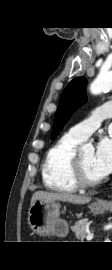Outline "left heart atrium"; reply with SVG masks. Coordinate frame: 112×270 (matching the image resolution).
Returning a JSON list of instances; mask_svg holds the SVG:
<instances>
[{"label": "left heart atrium", "instance_id": "left-heart-atrium-1", "mask_svg": "<svg viewBox=\"0 0 112 270\" xmlns=\"http://www.w3.org/2000/svg\"><path fill=\"white\" fill-rule=\"evenodd\" d=\"M93 168L100 179L112 172V138L102 137L96 146Z\"/></svg>", "mask_w": 112, "mask_h": 270}]
</instances>
